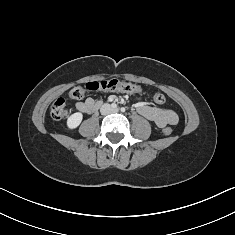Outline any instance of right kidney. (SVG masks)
Listing matches in <instances>:
<instances>
[{
  "label": "right kidney",
  "instance_id": "ca27d5eb",
  "mask_svg": "<svg viewBox=\"0 0 235 235\" xmlns=\"http://www.w3.org/2000/svg\"><path fill=\"white\" fill-rule=\"evenodd\" d=\"M83 119V115L80 112H76L72 114L68 119H67V127L69 129H75L77 128L81 121Z\"/></svg>",
  "mask_w": 235,
  "mask_h": 235
}]
</instances>
